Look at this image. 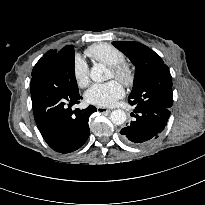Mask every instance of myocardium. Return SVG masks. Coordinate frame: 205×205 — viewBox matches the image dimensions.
Segmentation results:
<instances>
[{
  "mask_svg": "<svg viewBox=\"0 0 205 205\" xmlns=\"http://www.w3.org/2000/svg\"><path fill=\"white\" fill-rule=\"evenodd\" d=\"M110 71L113 74L114 78H117L125 85L130 86L134 82V70L130 65L123 62L117 65L110 66Z\"/></svg>",
  "mask_w": 205,
  "mask_h": 205,
  "instance_id": "obj_1",
  "label": "myocardium"
}]
</instances>
